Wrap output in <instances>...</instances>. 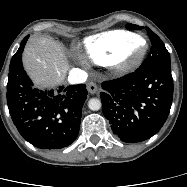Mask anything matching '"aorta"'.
Wrapping results in <instances>:
<instances>
[{"label":"aorta","mask_w":187,"mask_h":187,"mask_svg":"<svg viewBox=\"0 0 187 187\" xmlns=\"http://www.w3.org/2000/svg\"><path fill=\"white\" fill-rule=\"evenodd\" d=\"M102 104L101 101L97 98H91L88 101V107L92 111H98L101 108Z\"/></svg>","instance_id":"762f6f07"}]
</instances>
